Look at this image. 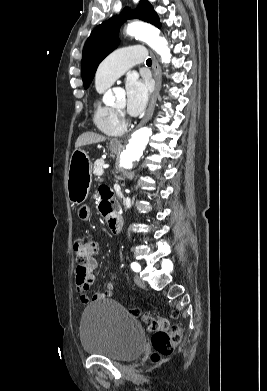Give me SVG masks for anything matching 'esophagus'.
I'll use <instances>...</instances> for the list:
<instances>
[{
  "instance_id": "34e87169",
  "label": "esophagus",
  "mask_w": 267,
  "mask_h": 391,
  "mask_svg": "<svg viewBox=\"0 0 267 391\" xmlns=\"http://www.w3.org/2000/svg\"><path fill=\"white\" fill-rule=\"evenodd\" d=\"M152 60H153V72H154V79H155V89H154V92H153V94L151 96L149 107H148V110L146 112V115L143 118V120L140 122L139 126H142L143 124H145L151 118V116L153 114V111H154V108H155L157 95H158V93L160 91L161 83H162V75H161V68H160L159 62H158V60L156 59V57L154 55H153V59ZM114 145L120 146L121 145V141H116L114 143Z\"/></svg>"
}]
</instances>
